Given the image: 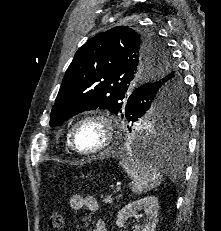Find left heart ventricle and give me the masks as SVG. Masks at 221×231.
I'll return each instance as SVG.
<instances>
[{
	"mask_svg": "<svg viewBox=\"0 0 221 231\" xmlns=\"http://www.w3.org/2000/svg\"><path fill=\"white\" fill-rule=\"evenodd\" d=\"M104 141V128L98 121H88L80 125L76 133V144L83 151L99 147Z\"/></svg>",
	"mask_w": 221,
	"mask_h": 231,
	"instance_id": "left-heart-ventricle-1",
	"label": "left heart ventricle"
}]
</instances>
